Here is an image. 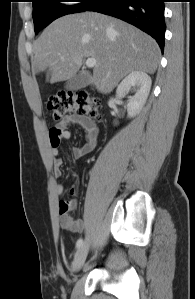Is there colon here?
<instances>
[{
  "label": "colon",
  "instance_id": "obj_1",
  "mask_svg": "<svg viewBox=\"0 0 195 299\" xmlns=\"http://www.w3.org/2000/svg\"><path fill=\"white\" fill-rule=\"evenodd\" d=\"M47 108L55 120H60L69 113L89 117H96L98 114L96 102L85 91L53 95L48 98Z\"/></svg>",
  "mask_w": 195,
  "mask_h": 299
}]
</instances>
